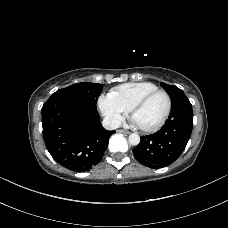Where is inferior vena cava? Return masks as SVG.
I'll return each instance as SVG.
<instances>
[{
  "mask_svg": "<svg viewBox=\"0 0 228 228\" xmlns=\"http://www.w3.org/2000/svg\"><path fill=\"white\" fill-rule=\"evenodd\" d=\"M102 125L106 130H114L120 126V123L112 118H104L102 121Z\"/></svg>",
  "mask_w": 228,
  "mask_h": 228,
  "instance_id": "602c4592",
  "label": "inferior vena cava"
}]
</instances>
